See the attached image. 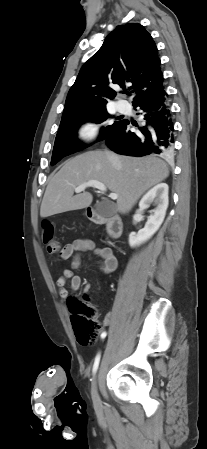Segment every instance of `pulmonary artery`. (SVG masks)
Here are the masks:
<instances>
[{"instance_id": "e3ab8cb5", "label": "pulmonary artery", "mask_w": 207, "mask_h": 449, "mask_svg": "<svg viewBox=\"0 0 207 449\" xmlns=\"http://www.w3.org/2000/svg\"><path fill=\"white\" fill-rule=\"evenodd\" d=\"M117 109L120 112H125L128 109V105L125 102H123V101H118L117 102Z\"/></svg>"}]
</instances>
